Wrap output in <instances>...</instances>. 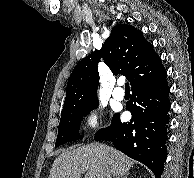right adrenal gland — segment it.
<instances>
[{
	"label": "right adrenal gland",
	"instance_id": "right-adrenal-gland-1",
	"mask_svg": "<svg viewBox=\"0 0 194 178\" xmlns=\"http://www.w3.org/2000/svg\"><path fill=\"white\" fill-rule=\"evenodd\" d=\"M128 175H129V173H126V174H124V175L117 176V177H115V178H127Z\"/></svg>",
	"mask_w": 194,
	"mask_h": 178
}]
</instances>
